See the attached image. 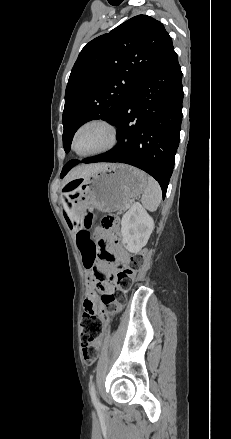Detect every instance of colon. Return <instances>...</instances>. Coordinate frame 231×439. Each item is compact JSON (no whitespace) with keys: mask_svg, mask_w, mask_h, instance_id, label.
I'll use <instances>...</instances> for the list:
<instances>
[{"mask_svg":"<svg viewBox=\"0 0 231 439\" xmlns=\"http://www.w3.org/2000/svg\"><path fill=\"white\" fill-rule=\"evenodd\" d=\"M75 188V182L65 186L67 194ZM91 221L87 219L86 223ZM114 219L110 216L104 217L101 221V228L108 231L112 228ZM99 255L98 249L87 250L83 257V265L91 270L99 282H104L105 275L95 267V260ZM112 260L111 257H108ZM144 255L142 253L132 255L124 264L118 266V271L113 277V282L108 290L101 295V302L104 306L98 314L92 309L85 310L81 317V346L84 361L93 364L99 356V350L94 343L103 334L104 324L119 312L125 303L126 293L131 289L136 273L142 268Z\"/></svg>","mask_w":231,"mask_h":439,"instance_id":"5ec220e1","label":"colon"}]
</instances>
